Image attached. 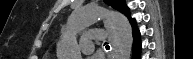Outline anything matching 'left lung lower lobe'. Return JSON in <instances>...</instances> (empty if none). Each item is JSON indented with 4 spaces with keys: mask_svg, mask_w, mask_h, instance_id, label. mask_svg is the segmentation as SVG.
Wrapping results in <instances>:
<instances>
[{
    "mask_svg": "<svg viewBox=\"0 0 193 59\" xmlns=\"http://www.w3.org/2000/svg\"><path fill=\"white\" fill-rule=\"evenodd\" d=\"M132 27H133V57L132 59H140V50H141V43H140V33L136 28L135 20L128 17Z\"/></svg>",
    "mask_w": 193,
    "mask_h": 59,
    "instance_id": "0a47b994",
    "label": "left lung lower lobe"
}]
</instances>
